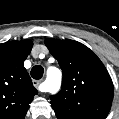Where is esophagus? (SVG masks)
<instances>
[{"label":"esophagus","instance_id":"obj_1","mask_svg":"<svg viewBox=\"0 0 119 119\" xmlns=\"http://www.w3.org/2000/svg\"><path fill=\"white\" fill-rule=\"evenodd\" d=\"M41 80H33V85L35 86V87H38L40 84H41Z\"/></svg>","mask_w":119,"mask_h":119}]
</instances>
